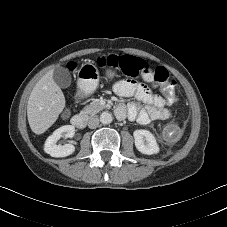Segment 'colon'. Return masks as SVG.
I'll return each instance as SVG.
<instances>
[{"label": "colon", "instance_id": "5ec220e1", "mask_svg": "<svg viewBox=\"0 0 227 227\" xmlns=\"http://www.w3.org/2000/svg\"><path fill=\"white\" fill-rule=\"evenodd\" d=\"M98 64L100 67H108L131 77L147 76L161 84L169 102L173 103L177 100V83L169 78V73L163 66H152L134 57L119 58L115 55L100 58ZM184 126V124L181 125V130L184 129Z\"/></svg>", "mask_w": 227, "mask_h": 227}]
</instances>
